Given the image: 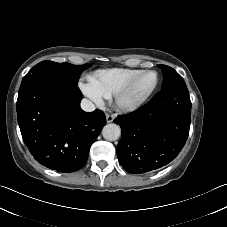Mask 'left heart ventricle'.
Masks as SVG:
<instances>
[{
  "mask_svg": "<svg viewBox=\"0 0 227 227\" xmlns=\"http://www.w3.org/2000/svg\"><path fill=\"white\" fill-rule=\"evenodd\" d=\"M155 82V75L147 73L142 75L134 84L130 93L126 96L124 101L126 103L134 102L143 97L153 86Z\"/></svg>",
  "mask_w": 227,
  "mask_h": 227,
  "instance_id": "left-heart-ventricle-1",
  "label": "left heart ventricle"
}]
</instances>
